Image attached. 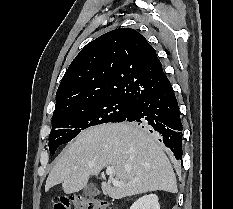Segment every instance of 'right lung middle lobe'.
Instances as JSON below:
<instances>
[{
    "label": "right lung middle lobe",
    "mask_w": 233,
    "mask_h": 209,
    "mask_svg": "<svg viewBox=\"0 0 233 209\" xmlns=\"http://www.w3.org/2000/svg\"><path fill=\"white\" fill-rule=\"evenodd\" d=\"M132 105L133 102L124 99L107 98L54 115L49 134L50 153L53 155L60 145L68 143L88 127L108 122H123ZM135 125L141 126L137 123Z\"/></svg>",
    "instance_id": "1"
}]
</instances>
